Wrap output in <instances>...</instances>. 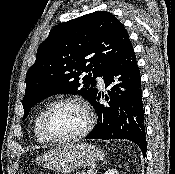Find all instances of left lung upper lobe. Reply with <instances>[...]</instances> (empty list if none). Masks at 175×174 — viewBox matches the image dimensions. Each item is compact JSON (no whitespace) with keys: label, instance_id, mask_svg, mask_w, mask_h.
<instances>
[{"label":"left lung upper lobe","instance_id":"left-lung-upper-lobe-1","mask_svg":"<svg viewBox=\"0 0 175 174\" xmlns=\"http://www.w3.org/2000/svg\"><path fill=\"white\" fill-rule=\"evenodd\" d=\"M130 43L125 27L110 12L96 11L55 26L26 74L23 119L32 106L52 95L80 94L91 102L98 93L95 78L103 76Z\"/></svg>","mask_w":175,"mask_h":174}]
</instances>
